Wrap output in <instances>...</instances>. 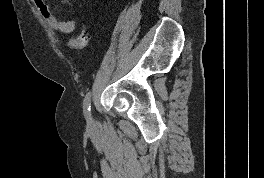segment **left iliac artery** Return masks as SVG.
Returning a JSON list of instances; mask_svg holds the SVG:
<instances>
[{"label": "left iliac artery", "mask_w": 264, "mask_h": 178, "mask_svg": "<svg viewBox=\"0 0 264 178\" xmlns=\"http://www.w3.org/2000/svg\"><path fill=\"white\" fill-rule=\"evenodd\" d=\"M91 110V91L87 92L83 101V111L86 117L90 116Z\"/></svg>", "instance_id": "left-iliac-artery-1"}]
</instances>
